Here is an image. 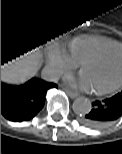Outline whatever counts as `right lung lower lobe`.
<instances>
[{"mask_svg":"<svg viewBox=\"0 0 122 154\" xmlns=\"http://www.w3.org/2000/svg\"><path fill=\"white\" fill-rule=\"evenodd\" d=\"M57 87L36 78L19 86L1 83V114L10 121L30 120L44 107L46 91Z\"/></svg>","mask_w":122,"mask_h":154,"instance_id":"98d812e1","label":"right lung lower lobe"}]
</instances>
